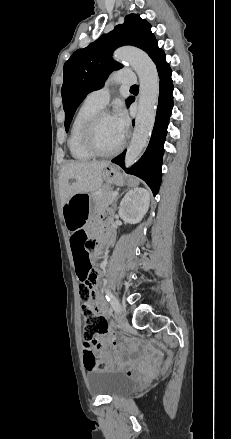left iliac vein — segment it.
<instances>
[{
	"label": "left iliac vein",
	"instance_id": "obj_1",
	"mask_svg": "<svg viewBox=\"0 0 231 439\" xmlns=\"http://www.w3.org/2000/svg\"><path fill=\"white\" fill-rule=\"evenodd\" d=\"M115 310V317L117 319V321L119 322V324L121 326H126L127 325V319H126V309L123 306H118V308L114 309Z\"/></svg>",
	"mask_w": 231,
	"mask_h": 439
}]
</instances>
